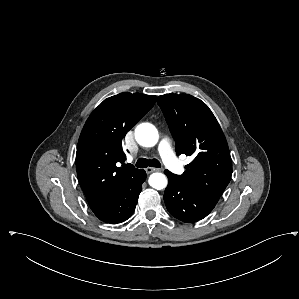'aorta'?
I'll use <instances>...</instances> for the list:
<instances>
[{
  "label": "aorta",
  "mask_w": 299,
  "mask_h": 299,
  "mask_svg": "<svg viewBox=\"0 0 299 299\" xmlns=\"http://www.w3.org/2000/svg\"><path fill=\"white\" fill-rule=\"evenodd\" d=\"M135 139L141 146L153 147L159 139L158 131L150 123H141L135 129ZM148 182L152 188L157 190L164 189L167 186V178L162 173L151 174Z\"/></svg>",
  "instance_id": "obj_1"
}]
</instances>
